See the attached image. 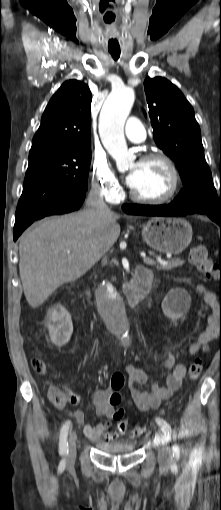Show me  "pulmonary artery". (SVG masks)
I'll list each match as a JSON object with an SVG mask.
<instances>
[{
  "instance_id": "1",
  "label": "pulmonary artery",
  "mask_w": 221,
  "mask_h": 510,
  "mask_svg": "<svg viewBox=\"0 0 221 510\" xmlns=\"http://www.w3.org/2000/svg\"><path fill=\"white\" fill-rule=\"evenodd\" d=\"M126 137L135 143L143 142L146 138V130L144 125L136 117H130L124 129Z\"/></svg>"
}]
</instances>
